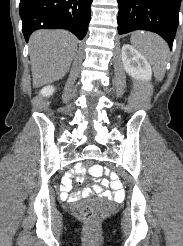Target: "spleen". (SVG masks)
<instances>
[{
    "label": "spleen",
    "mask_w": 183,
    "mask_h": 246,
    "mask_svg": "<svg viewBox=\"0 0 183 246\" xmlns=\"http://www.w3.org/2000/svg\"><path fill=\"white\" fill-rule=\"evenodd\" d=\"M131 44L137 48L153 66L155 77L162 81L169 57V47L159 35L137 31L131 36Z\"/></svg>",
    "instance_id": "spleen-1"
}]
</instances>
